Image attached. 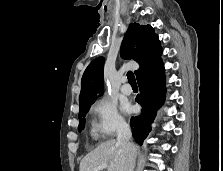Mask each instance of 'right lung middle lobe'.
Returning <instances> with one entry per match:
<instances>
[{"instance_id":"dd1d6c3e","label":"right lung middle lobe","mask_w":223,"mask_h":171,"mask_svg":"<svg viewBox=\"0 0 223 171\" xmlns=\"http://www.w3.org/2000/svg\"><path fill=\"white\" fill-rule=\"evenodd\" d=\"M91 105L92 104L83 106L79 110V119H80L79 126H78V131L79 132H81L84 129V126H85V115L88 112V110H89Z\"/></svg>"}]
</instances>
